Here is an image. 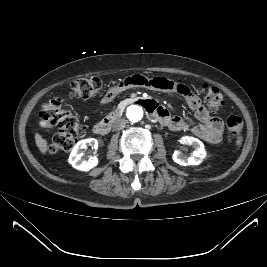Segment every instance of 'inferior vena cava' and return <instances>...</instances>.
<instances>
[{"mask_svg":"<svg viewBox=\"0 0 267 267\" xmlns=\"http://www.w3.org/2000/svg\"><path fill=\"white\" fill-rule=\"evenodd\" d=\"M125 126H126V120L123 118L115 120L113 125H112L113 130H115V131L122 130L123 128H125Z\"/></svg>","mask_w":267,"mask_h":267,"instance_id":"obj_1","label":"inferior vena cava"}]
</instances>
